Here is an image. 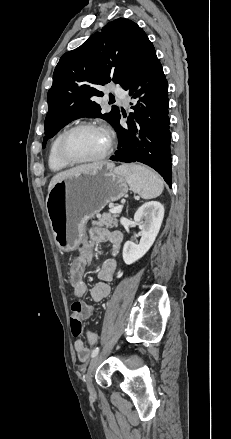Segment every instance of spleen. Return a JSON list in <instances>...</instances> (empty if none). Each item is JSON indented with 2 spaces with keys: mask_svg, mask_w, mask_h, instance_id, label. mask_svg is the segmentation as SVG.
Instances as JSON below:
<instances>
[{
  "mask_svg": "<svg viewBox=\"0 0 231 439\" xmlns=\"http://www.w3.org/2000/svg\"><path fill=\"white\" fill-rule=\"evenodd\" d=\"M116 170L125 177L131 190L143 199L156 198L164 189L159 175L142 165H121Z\"/></svg>",
  "mask_w": 231,
  "mask_h": 439,
  "instance_id": "spleen-1",
  "label": "spleen"
}]
</instances>
